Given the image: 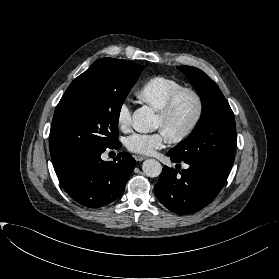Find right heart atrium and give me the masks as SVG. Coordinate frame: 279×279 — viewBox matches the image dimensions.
Wrapping results in <instances>:
<instances>
[{
  "instance_id": "1",
  "label": "right heart atrium",
  "mask_w": 279,
  "mask_h": 279,
  "mask_svg": "<svg viewBox=\"0 0 279 279\" xmlns=\"http://www.w3.org/2000/svg\"><path fill=\"white\" fill-rule=\"evenodd\" d=\"M116 121L119 128L123 131H126L130 128L132 122V109L129 103L122 102L116 114Z\"/></svg>"
}]
</instances>
